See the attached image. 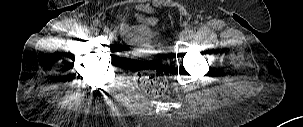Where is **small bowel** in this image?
<instances>
[{"label":"small bowel","instance_id":"small-bowel-1","mask_svg":"<svg viewBox=\"0 0 303 127\" xmlns=\"http://www.w3.org/2000/svg\"><path fill=\"white\" fill-rule=\"evenodd\" d=\"M121 19V30L123 32L129 31V25L127 23V19L124 15L120 16ZM138 20L142 23L141 26L138 29L139 35H146L150 32V28L154 26L157 21L153 17H145V16H138Z\"/></svg>","mask_w":303,"mask_h":127}]
</instances>
